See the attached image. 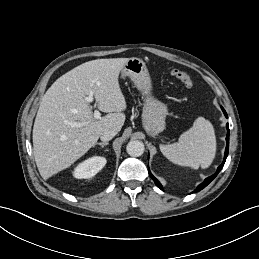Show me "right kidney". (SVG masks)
I'll list each match as a JSON object with an SVG mask.
<instances>
[{"instance_id": "1", "label": "right kidney", "mask_w": 259, "mask_h": 259, "mask_svg": "<svg viewBox=\"0 0 259 259\" xmlns=\"http://www.w3.org/2000/svg\"><path fill=\"white\" fill-rule=\"evenodd\" d=\"M106 164V159L94 156L80 163L74 170L73 176L77 179H89L95 176Z\"/></svg>"}]
</instances>
